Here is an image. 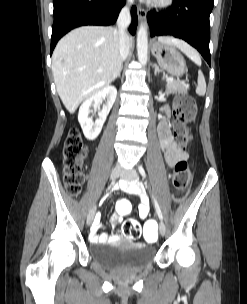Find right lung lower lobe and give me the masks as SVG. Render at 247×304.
<instances>
[{
    "mask_svg": "<svg viewBox=\"0 0 247 304\" xmlns=\"http://www.w3.org/2000/svg\"><path fill=\"white\" fill-rule=\"evenodd\" d=\"M125 0H53L54 23L52 26V54L58 40L71 29L83 25H112L116 22ZM132 23L129 28L135 34L137 10L131 9Z\"/></svg>",
    "mask_w": 247,
    "mask_h": 304,
    "instance_id": "1",
    "label": "right lung lower lobe"
}]
</instances>
